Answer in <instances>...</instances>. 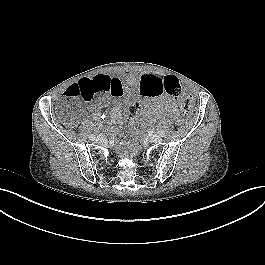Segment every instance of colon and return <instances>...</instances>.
Listing matches in <instances>:
<instances>
[{
  "instance_id": "1",
  "label": "colon",
  "mask_w": 265,
  "mask_h": 265,
  "mask_svg": "<svg viewBox=\"0 0 265 265\" xmlns=\"http://www.w3.org/2000/svg\"><path fill=\"white\" fill-rule=\"evenodd\" d=\"M162 91L177 100V105L184 114H189L193 107V98L183 92L179 80L172 75H167L162 81ZM109 94V88L105 79L88 80L82 79L71 86L65 92L67 99L83 98L87 101L94 99L96 96H105ZM140 103L132 105L126 115L128 126L134 125V119L140 110ZM76 119L70 118V125H75Z\"/></svg>"
}]
</instances>
